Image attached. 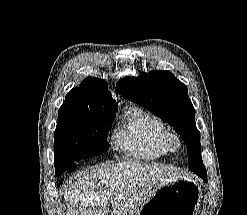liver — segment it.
<instances>
[{
	"label": "liver",
	"instance_id": "liver-1",
	"mask_svg": "<svg viewBox=\"0 0 247 215\" xmlns=\"http://www.w3.org/2000/svg\"><path fill=\"white\" fill-rule=\"evenodd\" d=\"M183 175L158 164L119 162L80 172L64 186L67 215H134L166 178Z\"/></svg>",
	"mask_w": 247,
	"mask_h": 215
}]
</instances>
